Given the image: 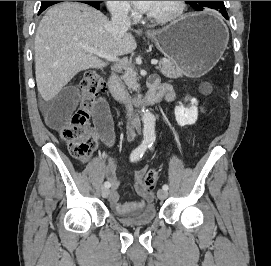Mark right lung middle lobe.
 I'll return each mask as SVG.
<instances>
[{"label":"right lung middle lobe","mask_w":271,"mask_h":266,"mask_svg":"<svg viewBox=\"0 0 271 266\" xmlns=\"http://www.w3.org/2000/svg\"><path fill=\"white\" fill-rule=\"evenodd\" d=\"M58 2H60V1H42L41 6L53 5ZM98 2H102V1H98Z\"/></svg>","instance_id":"obj_1"}]
</instances>
